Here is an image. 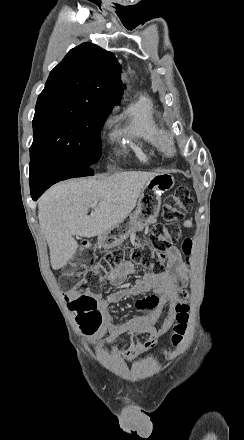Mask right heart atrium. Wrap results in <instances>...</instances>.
<instances>
[{
	"label": "right heart atrium",
	"instance_id": "right-heart-atrium-1",
	"mask_svg": "<svg viewBox=\"0 0 244 440\" xmlns=\"http://www.w3.org/2000/svg\"><path fill=\"white\" fill-rule=\"evenodd\" d=\"M112 118H113V113H111V114L107 117V119L105 120V124H106V125L110 124V123L112 122Z\"/></svg>",
	"mask_w": 244,
	"mask_h": 440
}]
</instances>
